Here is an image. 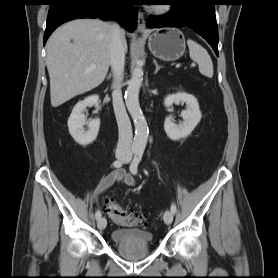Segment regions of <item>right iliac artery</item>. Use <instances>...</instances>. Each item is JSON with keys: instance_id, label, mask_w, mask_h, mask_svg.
<instances>
[{"instance_id": "82829eb1", "label": "right iliac artery", "mask_w": 278, "mask_h": 278, "mask_svg": "<svg viewBox=\"0 0 278 278\" xmlns=\"http://www.w3.org/2000/svg\"><path fill=\"white\" fill-rule=\"evenodd\" d=\"M132 152L136 153V150H132ZM123 161L122 160H116L114 161L113 163V166L116 167V168H119L123 165ZM95 218L98 220L101 218V212L100 210H97L96 213H95Z\"/></svg>"}]
</instances>
